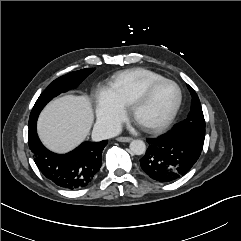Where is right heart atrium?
<instances>
[{"instance_id": "obj_1", "label": "right heart atrium", "mask_w": 241, "mask_h": 241, "mask_svg": "<svg viewBox=\"0 0 241 241\" xmlns=\"http://www.w3.org/2000/svg\"><path fill=\"white\" fill-rule=\"evenodd\" d=\"M96 118L106 133L114 132L125 117V106L117 99L111 87L102 86L96 91Z\"/></svg>"}]
</instances>
